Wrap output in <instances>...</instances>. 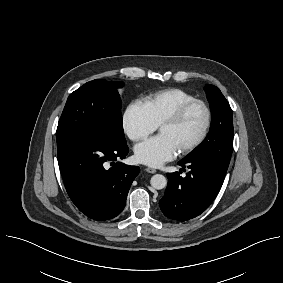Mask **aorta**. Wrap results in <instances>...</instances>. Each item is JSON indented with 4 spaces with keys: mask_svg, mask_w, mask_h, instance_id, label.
<instances>
[{
    "mask_svg": "<svg viewBox=\"0 0 283 283\" xmlns=\"http://www.w3.org/2000/svg\"><path fill=\"white\" fill-rule=\"evenodd\" d=\"M150 184L154 189L161 190L166 187L167 179L161 174H155L151 177Z\"/></svg>",
    "mask_w": 283,
    "mask_h": 283,
    "instance_id": "762f6f07",
    "label": "aorta"
}]
</instances>
